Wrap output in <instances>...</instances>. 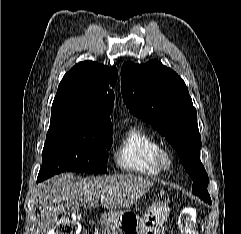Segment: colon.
Masks as SVG:
<instances>
[{"label": "colon", "instance_id": "obj_1", "mask_svg": "<svg viewBox=\"0 0 241 234\" xmlns=\"http://www.w3.org/2000/svg\"><path fill=\"white\" fill-rule=\"evenodd\" d=\"M195 210L189 208L184 210L179 218V228L182 234H197L195 229ZM53 234H80V224L76 216L65 214L62 216Z\"/></svg>", "mask_w": 241, "mask_h": 234}]
</instances>
